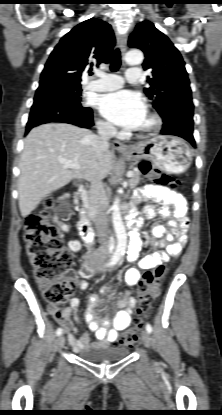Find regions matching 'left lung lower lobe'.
Instances as JSON below:
<instances>
[{"label":"left lung lower lobe","mask_w":222,"mask_h":415,"mask_svg":"<svg viewBox=\"0 0 222 415\" xmlns=\"http://www.w3.org/2000/svg\"><path fill=\"white\" fill-rule=\"evenodd\" d=\"M193 108L192 100L182 102L181 119H178L175 116L164 119L161 134L182 137L195 147V140L193 137Z\"/></svg>","instance_id":"0a47b994"}]
</instances>
